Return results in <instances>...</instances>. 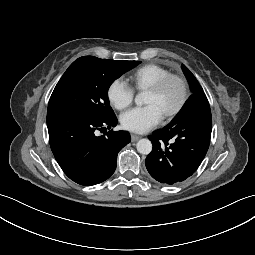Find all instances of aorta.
Wrapping results in <instances>:
<instances>
[{
  "instance_id": "aorta-1",
  "label": "aorta",
  "mask_w": 255,
  "mask_h": 255,
  "mask_svg": "<svg viewBox=\"0 0 255 255\" xmlns=\"http://www.w3.org/2000/svg\"><path fill=\"white\" fill-rule=\"evenodd\" d=\"M135 103L141 106L144 103V95L138 94L135 97ZM137 151L143 155H148L152 151V143L148 139H140L136 144Z\"/></svg>"
}]
</instances>
